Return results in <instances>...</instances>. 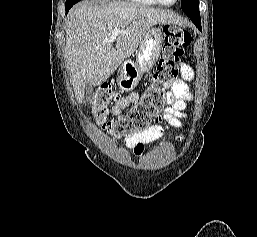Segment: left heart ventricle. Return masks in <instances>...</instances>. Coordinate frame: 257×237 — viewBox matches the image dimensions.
Here are the masks:
<instances>
[{
    "label": "left heart ventricle",
    "instance_id": "b2bd125f",
    "mask_svg": "<svg viewBox=\"0 0 257 237\" xmlns=\"http://www.w3.org/2000/svg\"><path fill=\"white\" fill-rule=\"evenodd\" d=\"M162 1L167 2V3H172L175 0H162Z\"/></svg>",
    "mask_w": 257,
    "mask_h": 237
}]
</instances>
